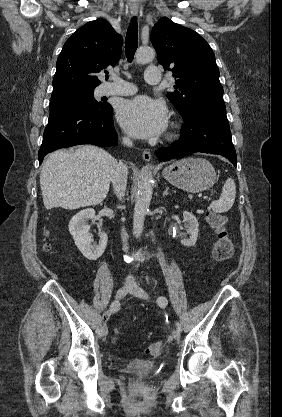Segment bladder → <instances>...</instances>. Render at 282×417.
Returning <instances> with one entry per match:
<instances>
[{
  "label": "bladder",
  "mask_w": 282,
  "mask_h": 417,
  "mask_svg": "<svg viewBox=\"0 0 282 417\" xmlns=\"http://www.w3.org/2000/svg\"><path fill=\"white\" fill-rule=\"evenodd\" d=\"M157 370L155 363L140 358L130 359L124 365L126 373L140 378H150L157 373Z\"/></svg>",
  "instance_id": "bladder-1"
}]
</instances>
